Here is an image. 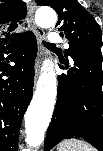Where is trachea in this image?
Here are the masks:
<instances>
[{
  "instance_id": "3493384b",
  "label": "trachea",
  "mask_w": 103,
  "mask_h": 151,
  "mask_svg": "<svg viewBox=\"0 0 103 151\" xmlns=\"http://www.w3.org/2000/svg\"><path fill=\"white\" fill-rule=\"evenodd\" d=\"M43 43H44V45H45L46 47H53V45L50 44V43H47V42H43Z\"/></svg>"
}]
</instances>
